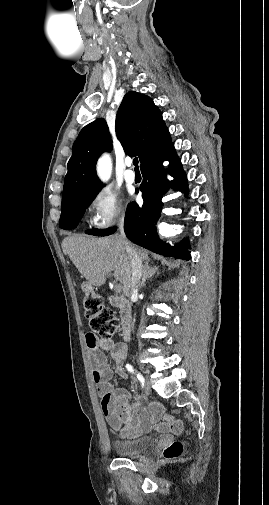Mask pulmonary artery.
<instances>
[{
  "instance_id": "e3ab8cb5",
  "label": "pulmonary artery",
  "mask_w": 269,
  "mask_h": 505,
  "mask_svg": "<svg viewBox=\"0 0 269 505\" xmlns=\"http://www.w3.org/2000/svg\"><path fill=\"white\" fill-rule=\"evenodd\" d=\"M125 163L128 169L124 173V178L128 183H133L135 181V173L130 168L132 165V161L131 159H127Z\"/></svg>"
}]
</instances>
